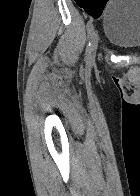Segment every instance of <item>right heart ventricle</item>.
<instances>
[{
    "mask_svg": "<svg viewBox=\"0 0 140 196\" xmlns=\"http://www.w3.org/2000/svg\"><path fill=\"white\" fill-rule=\"evenodd\" d=\"M62 192V191H59ZM86 192H107V191H86Z\"/></svg>",
    "mask_w": 140,
    "mask_h": 196,
    "instance_id": "1",
    "label": "right heart ventricle"
}]
</instances>
